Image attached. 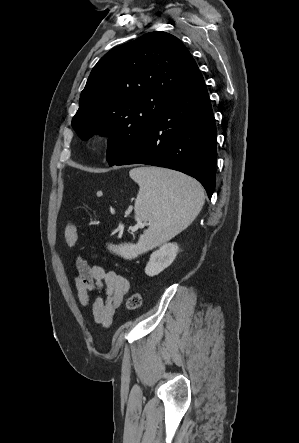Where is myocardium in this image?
Here are the masks:
<instances>
[{"mask_svg": "<svg viewBox=\"0 0 299 443\" xmlns=\"http://www.w3.org/2000/svg\"><path fill=\"white\" fill-rule=\"evenodd\" d=\"M105 139V134L102 131H96L91 135V142L95 145L101 144Z\"/></svg>", "mask_w": 299, "mask_h": 443, "instance_id": "myocardium-1", "label": "myocardium"}]
</instances>
